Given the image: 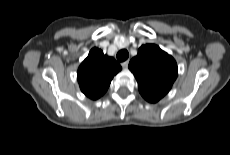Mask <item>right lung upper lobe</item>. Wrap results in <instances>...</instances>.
Instances as JSON below:
<instances>
[{
	"label": "right lung upper lobe",
	"instance_id": "1",
	"mask_svg": "<svg viewBox=\"0 0 230 155\" xmlns=\"http://www.w3.org/2000/svg\"><path fill=\"white\" fill-rule=\"evenodd\" d=\"M121 70L113 57L93 48L78 68L77 78L81 91L90 99L100 98L108 89L111 80Z\"/></svg>",
	"mask_w": 230,
	"mask_h": 155
}]
</instances>
